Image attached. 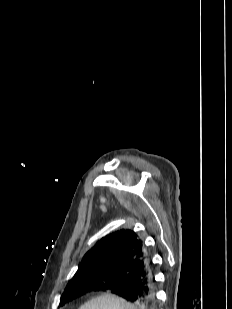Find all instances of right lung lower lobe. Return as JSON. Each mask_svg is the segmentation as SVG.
Segmentation results:
<instances>
[{"instance_id":"right-lung-lower-lobe-1","label":"right lung lower lobe","mask_w":232,"mask_h":309,"mask_svg":"<svg viewBox=\"0 0 232 309\" xmlns=\"http://www.w3.org/2000/svg\"><path fill=\"white\" fill-rule=\"evenodd\" d=\"M120 273L128 276L125 282L105 280L104 284L97 287H89L86 293L91 291H106L134 303L138 309H156L155 280L152 262L148 258L140 263H129L124 265ZM85 293V294H86Z\"/></svg>"}]
</instances>
